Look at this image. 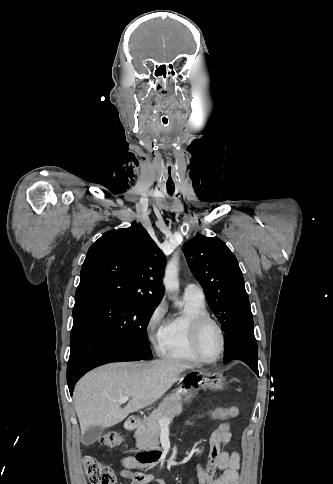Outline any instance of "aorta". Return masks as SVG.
Wrapping results in <instances>:
<instances>
[{
  "label": "aorta",
  "instance_id": "obj_1",
  "mask_svg": "<svg viewBox=\"0 0 333 484\" xmlns=\"http://www.w3.org/2000/svg\"><path fill=\"white\" fill-rule=\"evenodd\" d=\"M178 272V256L174 255L165 268L163 278L165 290L169 293L176 292L179 289Z\"/></svg>",
  "mask_w": 333,
  "mask_h": 484
}]
</instances>
